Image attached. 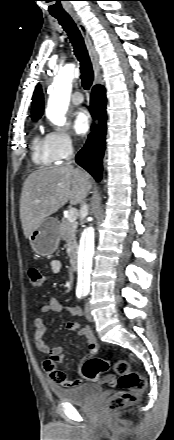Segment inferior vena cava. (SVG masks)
Instances as JSON below:
<instances>
[{"instance_id": "inferior-vena-cava-1", "label": "inferior vena cava", "mask_w": 174, "mask_h": 440, "mask_svg": "<svg viewBox=\"0 0 174 440\" xmlns=\"http://www.w3.org/2000/svg\"><path fill=\"white\" fill-rule=\"evenodd\" d=\"M72 160H69L68 162H67V165H71L72 164ZM81 214L83 215V216H86L87 214H88V205H87V203L85 202V201H82L81 202Z\"/></svg>"}]
</instances>
